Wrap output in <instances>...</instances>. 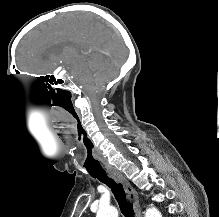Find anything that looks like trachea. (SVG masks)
Listing matches in <instances>:
<instances>
[{"label": "trachea", "mask_w": 219, "mask_h": 217, "mask_svg": "<svg viewBox=\"0 0 219 217\" xmlns=\"http://www.w3.org/2000/svg\"><path fill=\"white\" fill-rule=\"evenodd\" d=\"M90 175L93 178H97L99 181H101L102 183L106 184L109 188H111L119 204L120 210L125 217H134L133 207L127 201L126 194L120 183L116 182L115 179L108 176L104 170L96 173L90 172Z\"/></svg>", "instance_id": "1"}]
</instances>
